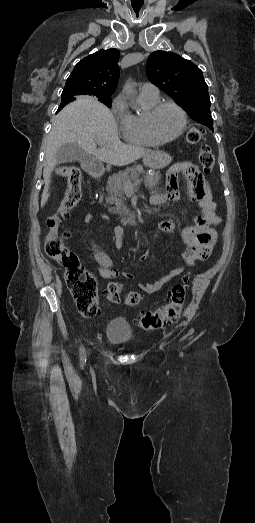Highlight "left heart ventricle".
I'll list each match as a JSON object with an SVG mask.
<instances>
[{
    "instance_id": "1",
    "label": "left heart ventricle",
    "mask_w": 255,
    "mask_h": 523,
    "mask_svg": "<svg viewBox=\"0 0 255 523\" xmlns=\"http://www.w3.org/2000/svg\"><path fill=\"white\" fill-rule=\"evenodd\" d=\"M182 123L179 112L172 106L162 107L153 118L155 133L161 138L174 136Z\"/></svg>"
}]
</instances>
